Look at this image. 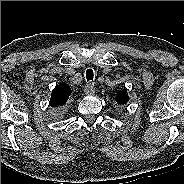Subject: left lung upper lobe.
Wrapping results in <instances>:
<instances>
[{
	"label": "left lung upper lobe",
	"instance_id": "obj_1",
	"mask_svg": "<svg viewBox=\"0 0 184 184\" xmlns=\"http://www.w3.org/2000/svg\"><path fill=\"white\" fill-rule=\"evenodd\" d=\"M115 100L119 103V104H126L129 100V96L126 92V89L119 91Z\"/></svg>",
	"mask_w": 184,
	"mask_h": 184
}]
</instances>
